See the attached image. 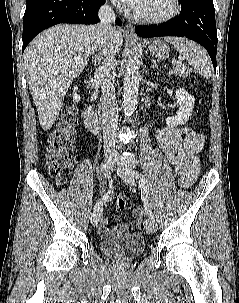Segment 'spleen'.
I'll return each instance as SVG.
<instances>
[{
    "instance_id": "1",
    "label": "spleen",
    "mask_w": 239,
    "mask_h": 303,
    "mask_svg": "<svg viewBox=\"0 0 239 303\" xmlns=\"http://www.w3.org/2000/svg\"><path fill=\"white\" fill-rule=\"evenodd\" d=\"M165 41L172 44L204 78L211 77L212 63L207 51L201 45L182 37H166Z\"/></svg>"
}]
</instances>
